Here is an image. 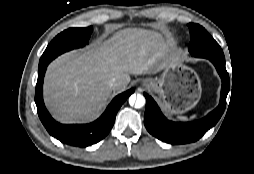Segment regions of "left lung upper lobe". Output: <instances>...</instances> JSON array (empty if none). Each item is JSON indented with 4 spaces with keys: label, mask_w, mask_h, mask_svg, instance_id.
Segmentation results:
<instances>
[{
    "label": "left lung upper lobe",
    "mask_w": 254,
    "mask_h": 174,
    "mask_svg": "<svg viewBox=\"0 0 254 174\" xmlns=\"http://www.w3.org/2000/svg\"><path fill=\"white\" fill-rule=\"evenodd\" d=\"M188 27L191 39L188 49L192 56L225 59L223 51L218 43L202 26L189 23Z\"/></svg>",
    "instance_id": "left-lung-upper-lobe-1"
}]
</instances>
